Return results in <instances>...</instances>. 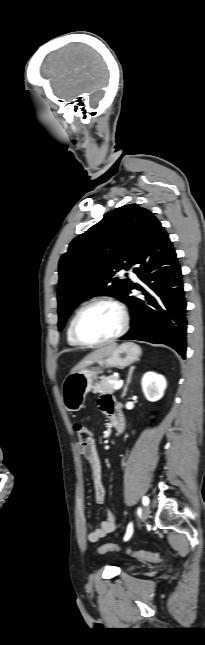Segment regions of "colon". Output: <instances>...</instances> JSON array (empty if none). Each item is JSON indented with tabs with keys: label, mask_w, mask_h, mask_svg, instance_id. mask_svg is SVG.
Returning <instances> with one entry per match:
<instances>
[{
	"label": "colon",
	"mask_w": 205,
	"mask_h": 645,
	"mask_svg": "<svg viewBox=\"0 0 205 645\" xmlns=\"http://www.w3.org/2000/svg\"><path fill=\"white\" fill-rule=\"evenodd\" d=\"M74 431L78 437L80 444L87 445L90 443L91 431L86 425L80 422H76L74 424ZM120 551H121V548L112 543L104 544L98 548V553L100 554H105L107 552H120ZM126 553L133 557L140 558L150 562H160L162 559L160 554L144 551V550H138V551L126 550Z\"/></svg>",
	"instance_id": "obj_1"
}]
</instances>
